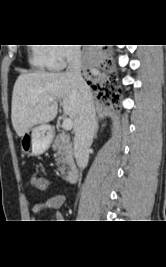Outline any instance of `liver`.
<instances>
[{
    "mask_svg": "<svg viewBox=\"0 0 166 267\" xmlns=\"http://www.w3.org/2000/svg\"><path fill=\"white\" fill-rule=\"evenodd\" d=\"M62 100L64 115H68L74 130L79 124L82 94L65 73H22L12 95L11 121L18 136L32 127L55 119L58 102Z\"/></svg>",
    "mask_w": 166,
    "mask_h": 267,
    "instance_id": "liver-1",
    "label": "liver"
}]
</instances>
